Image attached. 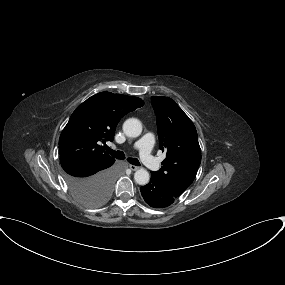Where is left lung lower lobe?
Masks as SVG:
<instances>
[{
    "label": "left lung lower lobe",
    "mask_w": 285,
    "mask_h": 285,
    "mask_svg": "<svg viewBox=\"0 0 285 285\" xmlns=\"http://www.w3.org/2000/svg\"><path fill=\"white\" fill-rule=\"evenodd\" d=\"M151 174L150 182L140 188L145 202L154 208H164L171 205L178 195L165 180L154 172H151Z\"/></svg>",
    "instance_id": "obj_1"
}]
</instances>
